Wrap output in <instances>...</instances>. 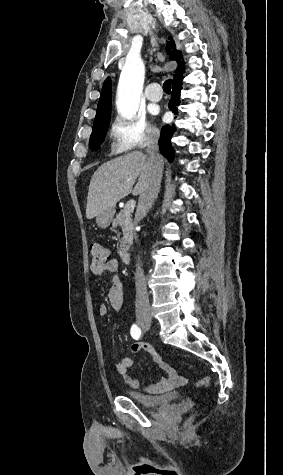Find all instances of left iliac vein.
<instances>
[{"label":"left iliac vein","mask_w":283,"mask_h":475,"mask_svg":"<svg viewBox=\"0 0 283 475\" xmlns=\"http://www.w3.org/2000/svg\"><path fill=\"white\" fill-rule=\"evenodd\" d=\"M149 329H150V325H149V324L143 326V330H144V331H147V330H149Z\"/></svg>","instance_id":"4c4485c4"}]
</instances>
